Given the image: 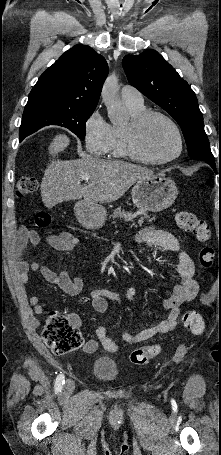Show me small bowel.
<instances>
[{"label": "small bowel", "instance_id": "c3829d8e", "mask_svg": "<svg viewBox=\"0 0 221 455\" xmlns=\"http://www.w3.org/2000/svg\"><path fill=\"white\" fill-rule=\"evenodd\" d=\"M20 240L16 249L17 269L20 273V280L26 284L30 274L39 272L43 278L52 285L58 286L66 294L74 296L80 293L83 282L80 277H72L67 271L56 272L38 262H26L28 247L36 246L41 237L34 230L22 227L19 231ZM136 243L149 246H158L170 252L177 254L178 266L177 275L178 283L170 290L166 291V298L163 302V308L167 312L166 316L157 324L141 330L135 334L125 333L121 342L114 341L107 332V326L102 325L96 331L97 339L88 340L84 346L85 353H94L99 344L109 352H116L140 342L149 340L155 336L171 332L181 314V307L196 298L199 292V285L194 279L195 264L189 254L184 251L176 236L172 233L159 228H146L140 231L135 239ZM47 242L50 246L58 251H73L79 244V239L68 232H62L57 235H49ZM134 289L129 288L125 294V300L132 301L134 298ZM93 309L98 313H105L108 308V301H114L118 304L123 299L116 293L106 289H93L89 292ZM30 304L33 306L35 313L42 314L44 307L40 303L38 296L30 298ZM72 322L79 327L81 320L78 316H70Z\"/></svg>", "mask_w": 221, "mask_h": 455}]
</instances>
